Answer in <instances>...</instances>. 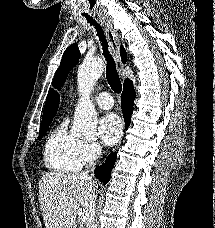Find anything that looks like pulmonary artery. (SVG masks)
Segmentation results:
<instances>
[{"label":"pulmonary artery","instance_id":"1","mask_svg":"<svg viewBox=\"0 0 215 228\" xmlns=\"http://www.w3.org/2000/svg\"><path fill=\"white\" fill-rule=\"evenodd\" d=\"M95 101L100 108L105 110L111 109L114 105L111 95L107 92H102L98 94L95 97Z\"/></svg>","mask_w":215,"mask_h":228}]
</instances>
